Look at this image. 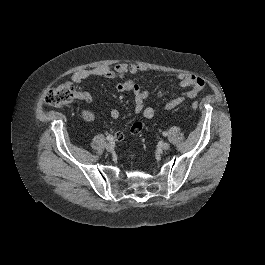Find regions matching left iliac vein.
Instances as JSON below:
<instances>
[{
	"label": "left iliac vein",
	"instance_id": "obj_1",
	"mask_svg": "<svg viewBox=\"0 0 265 265\" xmlns=\"http://www.w3.org/2000/svg\"><path fill=\"white\" fill-rule=\"evenodd\" d=\"M162 148H163L164 150H168V149L170 148V144L167 143V142H165V143L162 144Z\"/></svg>",
	"mask_w": 265,
	"mask_h": 265
}]
</instances>
